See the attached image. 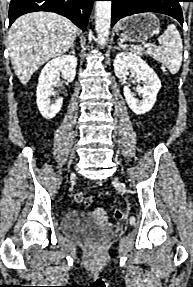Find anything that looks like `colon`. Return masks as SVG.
Segmentation results:
<instances>
[{"instance_id":"obj_1","label":"colon","mask_w":193,"mask_h":287,"mask_svg":"<svg viewBox=\"0 0 193 287\" xmlns=\"http://www.w3.org/2000/svg\"><path fill=\"white\" fill-rule=\"evenodd\" d=\"M73 199H74V202L77 204H84V205L90 206L93 203V199L91 196L85 195L81 192L76 193L74 195ZM124 216H125V214H124L123 210H121V209L114 210V217L117 220H122L124 218Z\"/></svg>"}]
</instances>
